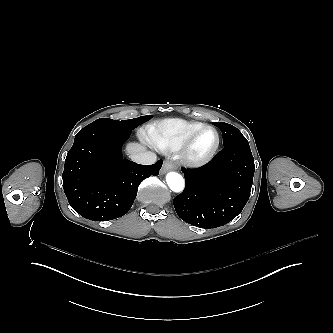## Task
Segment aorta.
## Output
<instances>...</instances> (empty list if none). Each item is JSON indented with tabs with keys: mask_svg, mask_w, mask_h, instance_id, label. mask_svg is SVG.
<instances>
[{
	"mask_svg": "<svg viewBox=\"0 0 333 333\" xmlns=\"http://www.w3.org/2000/svg\"><path fill=\"white\" fill-rule=\"evenodd\" d=\"M166 182L168 187L176 193L182 192L185 187V181L182 175L177 172H169L166 175Z\"/></svg>",
	"mask_w": 333,
	"mask_h": 333,
	"instance_id": "762f6f07",
	"label": "aorta"
}]
</instances>
